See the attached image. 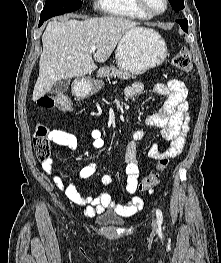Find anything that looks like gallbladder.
Wrapping results in <instances>:
<instances>
[{"label":"gallbladder","mask_w":221,"mask_h":263,"mask_svg":"<svg viewBox=\"0 0 221 263\" xmlns=\"http://www.w3.org/2000/svg\"><path fill=\"white\" fill-rule=\"evenodd\" d=\"M70 85V79H63L55 82L50 89L52 95H61L65 93Z\"/></svg>","instance_id":"gallbladder-1"}]
</instances>
